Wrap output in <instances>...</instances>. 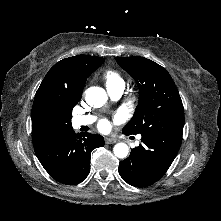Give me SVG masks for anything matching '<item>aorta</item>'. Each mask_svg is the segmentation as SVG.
I'll use <instances>...</instances> for the list:
<instances>
[{
	"label": "aorta",
	"instance_id": "762f6f07",
	"mask_svg": "<svg viewBox=\"0 0 221 221\" xmlns=\"http://www.w3.org/2000/svg\"><path fill=\"white\" fill-rule=\"evenodd\" d=\"M85 99L91 106H101L107 101V94L101 87H90L86 90ZM114 155L118 158H126L129 153L127 144L117 143L113 148Z\"/></svg>",
	"mask_w": 221,
	"mask_h": 221
}]
</instances>
